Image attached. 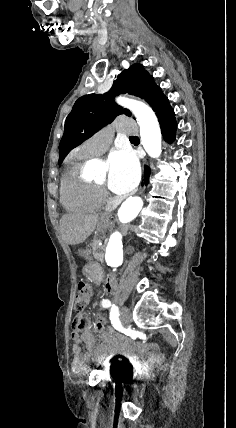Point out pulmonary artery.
Returning a JSON list of instances; mask_svg holds the SVG:
<instances>
[{"label": "pulmonary artery", "instance_id": "pulmonary-artery-1", "mask_svg": "<svg viewBox=\"0 0 236 428\" xmlns=\"http://www.w3.org/2000/svg\"><path fill=\"white\" fill-rule=\"evenodd\" d=\"M105 148L107 145H93L91 142L84 145L85 152L89 157L98 156Z\"/></svg>", "mask_w": 236, "mask_h": 428}]
</instances>
